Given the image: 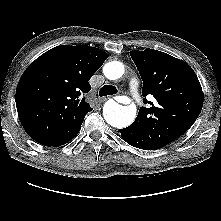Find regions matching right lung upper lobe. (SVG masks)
Masks as SVG:
<instances>
[{
	"label": "right lung upper lobe",
	"instance_id": "right-lung-upper-lobe-1",
	"mask_svg": "<svg viewBox=\"0 0 221 221\" xmlns=\"http://www.w3.org/2000/svg\"><path fill=\"white\" fill-rule=\"evenodd\" d=\"M108 54L87 45H62L38 57L23 73L16 107L26 132L45 146H61L79 132L91 111L84 95Z\"/></svg>",
	"mask_w": 221,
	"mask_h": 221
}]
</instances>
